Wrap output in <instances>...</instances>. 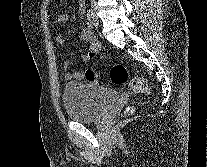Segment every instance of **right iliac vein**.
I'll list each match as a JSON object with an SVG mask.
<instances>
[{
	"label": "right iliac vein",
	"mask_w": 207,
	"mask_h": 167,
	"mask_svg": "<svg viewBox=\"0 0 207 167\" xmlns=\"http://www.w3.org/2000/svg\"><path fill=\"white\" fill-rule=\"evenodd\" d=\"M94 21H95V24L98 25V20H97V18H95Z\"/></svg>",
	"instance_id": "1"
}]
</instances>
